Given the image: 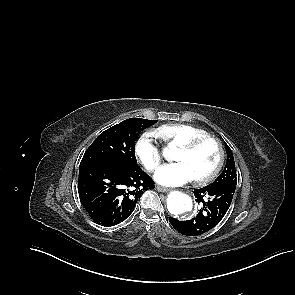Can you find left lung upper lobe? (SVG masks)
I'll return each mask as SVG.
<instances>
[{"mask_svg": "<svg viewBox=\"0 0 295 295\" xmlns=\"http://www.w3.org/2000/svg\"><path fill=\"white\" fill-rule=\"evenodd\" d=\"M227 152V163L223 170V172L215 179L213 183L210 185H219V184H226L231 183L236 185V170H235V162L233 158V153L231 149L226 146Z\"/></svg>", "mask_w": 295, "mask_h": 295, "instance_id": "1", "label": "left lung upper lobe"}]
</instances>
